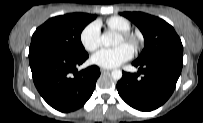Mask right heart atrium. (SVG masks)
<instances>
[{"mask_svg": "<svg viewBox=\"0 0 203 123\" xmlns=\"http://www.w3.org/2000/svg\"><path fill=\"white\" fill-rule=\"evenodd\" d=\"M83 47L90 52L95 51L101 44L100 23L93 21L89 23L80 34Z\"/></svg>", "mask_w": 203, "mask_h": 123, "instance_id": "right-heart-atrium-1", "label": "right heart atrium"}]
</instances>
